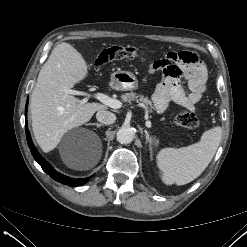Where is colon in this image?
I'll return each instance as SVG.
<instances>
[{
  "label": "colon",
  "instance_id": "1",
  "mask_svg": "<svg viewBox=\"0 0 247 247\" xmlns=\"http://www.w3.org/2000/svg\"><path fill=\"white\" fill-rule=\"evenodd\" d=\"M145 54V51L129 46H112L102 50L97 58L98 65L106 64L113 60L136 58ZM174 122L187 129H196L200 121L193 111H182L174 117Z\"/></svg>",
  "mask_w": 247,
  "mask_h": 247
}]
</instances>
